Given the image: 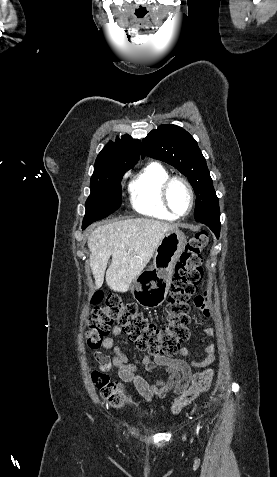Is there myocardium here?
<instances>
[{
	"mask_svg": "<svg viewBox=\"0 0 277 477\" xmlns=\"http://www.w3.org/2000/svg\"><path fill=\"white\" fill-rule=\"evenodd\" d=\"M176 181H179L181 183H183L187 190H188V193H189V197H190V205H189V208H188V211L184 214H179L177 213L171 203H170V199H169V191H170V187L171 185L176 182ZM161 199H162V202H163V205L165 206V208L172 214L174 215L175 217L177 218H183V217H186L188 216L193 208H194V205H195V193H194V189H193V186L192 184L190 183V181L188 179H186L185 177L183 176H178V175H175V176H169L162 184L161 186Z\"/></svg>",
	"mask_w": 277,
	"mask_h": 477,
	"instance_id": "f54148a6",
	"label": "myocardium"
}]
</instances>
